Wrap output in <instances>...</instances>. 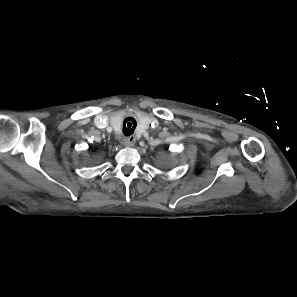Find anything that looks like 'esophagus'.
<instances>
[{"label": "esophagus", "mask_w": 297, "mask_h": 297, "mask_svg": "<svg viewBox=\"0 0 297 297\" xmlns=\"http://www.w3.org/2000/svg\"><path fill=\"white\" fill-rule=\"evenodd\" d=\"M135 141H136L135 136L134 135H131V136L123 139V144L125 146H133L134 143H135Z\"/></svg>", "instance_id": "34e87169"}]
</instances>
